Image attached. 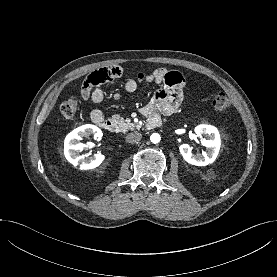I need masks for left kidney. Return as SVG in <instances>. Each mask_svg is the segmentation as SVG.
Returning <instances> with one entry per match:
<instances>
[{"label": "left kidney", "mask_w": 277, "mask_h": 277, "mask_svg": "<svg viewBox=\"0 0 277 277\" xmlns=\"http://www.w3.org/2000/svg\"><path fill=\"white\" fill-rule=\"evenodd\" d=\"M195 133L201 138V144L206 147V152L202 154H193L192 148L188 144H182L179 147L180 153L184 160L189 164L196 166H206L215 161L218 156L221 140L216 127L211 125H198L195 128ZM204 136V138H203Z\"/></svg>", "instance_id": "left-kidney-1"}]
</instances>
